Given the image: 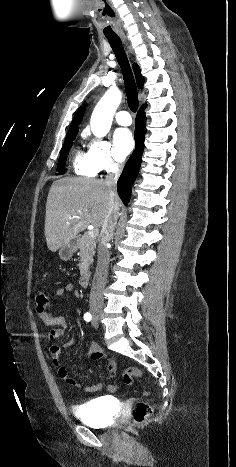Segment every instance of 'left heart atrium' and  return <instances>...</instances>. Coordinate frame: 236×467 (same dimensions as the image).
Returning a JSON list of instances; mask_svg holds the SVG:
<instances>
[{"label": "left heart atrium", "instance_id": "left-heart-atrium-1", "mask_svg": "<svg viewBox=\"0 0 236 467\" xmlns=\"http://www.w3.org/2000/svg\"><path fill=\"white\" fill-rule=\"evenodd\" d=\"M114 145L118 158L122 160L134 146L131 131L126 128L117 129L114 133Z\"/></svg>", "mask_w": 236, "mask_h": 467}]
</instances>
